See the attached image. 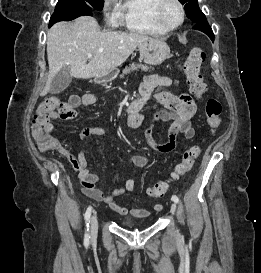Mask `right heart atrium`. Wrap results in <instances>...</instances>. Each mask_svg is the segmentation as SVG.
I'll return each instance as SVG.
<instances>
[{"label": "right heart atrium", "instance_id": "right-heart-atrium-1", "mask_svg": "<svg viewBox=\"0 0 261 273\" xmlns=\"http://www.w3.org/2000/svg\"><path fill=\"white\" fill-rule=\"evenodd\" d=\"M115 0H104L103 1V9L105 12H107L114 4ZM111 20L114 22V16H111Z\"/></svg>", "mask_w": 261, "mask_h": 273}]
</instances>
